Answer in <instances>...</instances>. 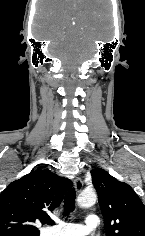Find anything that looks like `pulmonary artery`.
<instances>
[{
	"instance_id": "pulmonary-artery-1",
	"label": "pulmonary artery",
	"mask_w": 145,
	"mask_h": 236,
	"mask_svg": "<svg viewBox=\"0 0 145 236\" xmlns=\"http://www.w3.org/2000/svg\"><path fill=\"white\" fill-rule=\"evenodd\" d=\"M85 225L76 223L61 222L58 225L44 230L43 236H86L99 225L96 215H88Z\"/></svg>"
}]
</instances>
